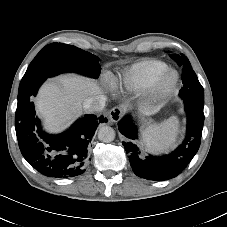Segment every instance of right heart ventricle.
I'll list each match as a JSON object with an SVG mask.
<instances>
[{"instance_id":"right-heart-ventricle-1","label":"right heart ventricle","mask_w":227,"mask_h":227,"mask_svg":"<svg viewBox=\"0 0 227 227\" xmlns=\"http://www.w3.org/2000/svg\"><path fill=\"white\" fill-rule=\"evenodd\" d=\"M166 69L168 65L162 61L142 60L122 71L114 85L129 92H138L149 88Z\"/></svg>"}]
</instances>
